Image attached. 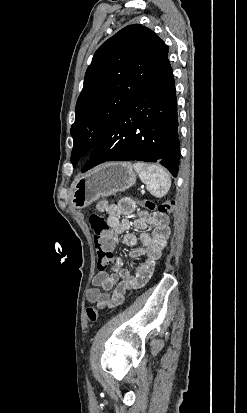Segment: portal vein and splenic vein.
I'll use <instances>...</instances> for the list:
<instances>
[{
  "label": "portal vein and splenic vein",
  "mask_w": 247,
  "mask_h": 413,
  "mask_svg": "<svg viewBox=\"0 0 247 413\" xmlns=\"http://www.w3.org/2000/svg\"><path fill=\"white\" fill-rule=\"evenodd\" d=\"M141 191H142L141 193L143 194L145 190H144V189H142Z\"/></svg>",
  "instance_id": "portal-vein-and-splenic-vein-1"
}]
</instances>
